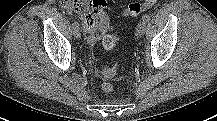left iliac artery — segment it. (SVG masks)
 Returning <instances> with one entry per match:
<instances>
[{
  "instance_id": "left-iliac-artery-1",
  "label": "left iliac artery",
  "mask_w": 217,
  "mask_h": 121,
  "mask_svg": "<svg viewBox=\"0 0 217 121\" xmlns=\"http://www.w3.org/2000/svg\"><path fill=\"white\" fill-rule=\"evenodd\" d=\"M142 20H143V22L147 23V22H149V20H150V16H149V15H144V16L142 17Z\"/></svg>"
}]
</instances>
